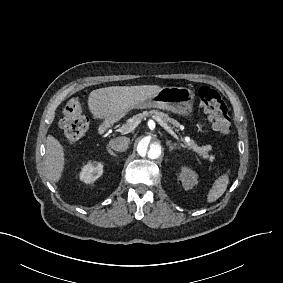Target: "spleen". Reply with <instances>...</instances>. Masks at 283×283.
Returning <instances> with one entry per match:
<instances>
[{"instance_id": "obj_1", "label": "spleen", "mask_w": 283, "mask_h": 283, "mask_svg": "<svg viewBox=\"0 0 283 283\" xmlns=\"http://www.w3.org/2000/svg\"><path fill=\"white\" fill-rule=\"evenodd\" d=\"M228 183H229L228 174H224L220 176L218 179H216L212 188L208 193L207 202L211 203L216 201L218 198H220L226 191Z\"/></svg>"}]
</instances>
